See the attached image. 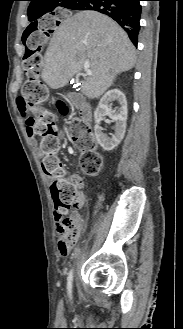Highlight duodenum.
Here are the masks:
<instances>
[{"label": "duodenum", "instance_id": "duodenum-1", "mask_svg": "<svg viewBox=\"0 0 183 329\" xmlns=\"http://www.w3.org/2000/svg\"><path fill=\"white\" fill-rule=\"evenodd\" d=\"M63 98L67 100L70 106L78 109L79 115L85 123L91 120V107L81 94H65Z\"/></svg>", "mask_w": 183, "mask_h": 329}]
</instances>
